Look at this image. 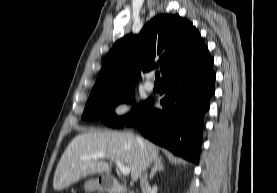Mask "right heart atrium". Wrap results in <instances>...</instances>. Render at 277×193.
<instances>
[{
	"label": "right heart atrium",
	"instance_id": "right-heart-atrium-1",
	"mask_svg": "<svg viewBox=\"0 0 277 193\" xmlns=\"http://www.w3.org/2000/svg\"><path fill=\"white\" fill-rule=\"evenodd\" d=\"M133 102L129 96H121L112 104L110 115L116 121L127 119L132 112Z\"/></svg>",
	"mask_w": 277,
	"mask_h": 193
}]
</instances>
